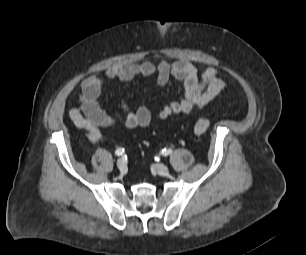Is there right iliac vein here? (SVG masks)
Masks as SVG:
<instances>
[{
    "label": "right iliac vein",
    "instance_id": "obj_1",
    "mask_svg": "<svg viewBox=\"0 0 306 255\" xmlns=\"http://www.w3.org/2000/svg\"><path fill=\"white\" fill-rule=\"evenodd\" d=\"M117 167L121 172H125L127 169L126 162L123 159H118Z\"/></svg>",
    "mask_w": 306,
    "mask_h": 255
}]
</instances>
